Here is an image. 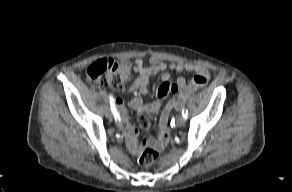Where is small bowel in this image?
<instances>
[{
    "mask_svg": "<svg viewBox=\"0 0 292 192\" xmlns=\"http://www.w3.org/2000/svg\"><path fill=\"white\" fill-rule=\"evenodd\" d=\"M133 69L137 73V78L128 87L127 91H139L141 94L148 93L150 77L158 73H162V82L159 84L160 90L158 91V97L154 102L145 105L143 104L141 98L138 97L134 98L131 102V106L136 112H147L152 114L161 109V113L159 114L160 120L157 125V130L159 133L158 140L150 139L139 142V132L128 122L123 101L120 98L116 99V104L121 114L120 120L118 121V127L125 136L129 150L133 154H139L147 145H153L157 149H162L164 147L169 136L167 126L171 116L170 110L177 107L188 94L197 88L206 85L209 81L210 75L208 69L204 65L192 63H165L157 57H151L147 66L144 65L142 59H136L134 61ZM168 70L178 73L183 71H193L195 72V76L189 84H186L183 78H179L177 82L172 83L169 81L170 75L167 72ZM166 96L168 102L166 103V106H163Z\"/></svg>",
    "mask_w": 292,
    "mask_h": 192,
    "instance_id": "small-bowel-1",
    "label": "small bowel"
}]
</instances>
